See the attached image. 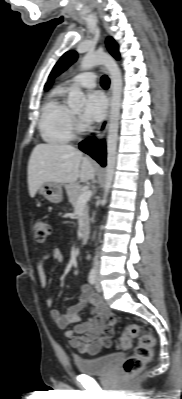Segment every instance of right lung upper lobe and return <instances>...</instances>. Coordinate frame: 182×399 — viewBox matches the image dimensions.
Wrapping results in <instances>:
<instances>
[{"instance_id":"right-lung-upper-lobe-1","label":"right lung upper lobe","mask_w":182,"mask_h":399,"mask_svg":"<svg viewBox=\"0 0 182 399\" xmlns=\"http://www.w3.org/2000/svg\"><path fill=\"white\" fill-rule=\"evenodd\" d=\"M49 87H50V85L47 83L45 86V89L47 90V89H49Z\"/></svg>"}]
</instances>
